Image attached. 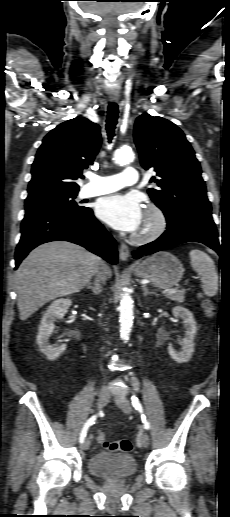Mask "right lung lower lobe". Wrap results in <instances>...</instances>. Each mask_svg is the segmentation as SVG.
I'll return each instance as SVG.
<instances>
[{
  "mask_svg": "<svg viewBox=\"0 0 230 517\" xmlns=\"http://www.w3.org/2000/svg\"><path fill=\"white\" fill-rule=\"evenodd\" d=\"M21 234L15 252V269L32 249L50 241L73 242L111 264L117 263L115 240L88 207L80 212L58 209L26 211L21 223Z\"/></svg>",
  "mask_w": 230,
  "mask_h": 517,
  "instance_id": "right-lung-lower-lobe-1",
  "label": "right lung lower lobe"
}]
</instances>
